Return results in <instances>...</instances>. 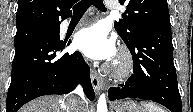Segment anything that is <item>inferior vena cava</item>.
Instances as JSON below:
<instances>
[{
  "label": "inferior vena cava",
  "instance_id": "602c4592",
  "mask_svg": "<svg viewBox=\"0 0 193 112\" xmlns=\"http://www.w3.org/2000/svg\"><path fill=\"white\" fill-rule=\"evenodd\" d=\"M68 99L70 112H87L84 99L78 93H72Z\"/></svg>",
  "mask_w": 193,
  "mask_h": 112
}]
</instances>
